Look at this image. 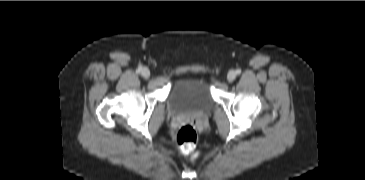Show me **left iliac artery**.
<instances>
[{"label":"left iliac artery","mask_w":365,"mask_h":180,"mask_svg":"<svg viewBox=\"0 0 365 180\" xmlns=\"http://www.w3.org/2000/svg\"><path fill=\"white\" fill-rule=\"evenodd\" d=\"M236 73H237V74H240V73H241V70H240V69H237V70H236Z\"/></svg>","instance_id":"44dca946"}]
</instances>
